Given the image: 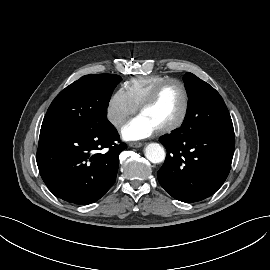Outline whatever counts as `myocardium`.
<instances>
[{
    "label": "myocardium",
    "instance_id": "myocardium-1",
    "mask_svg": "<svg viewBox=\"0 0 270 270\" xmlns=\"http://www.w3.org/2000/svg\"><path fill=\"white\" fill-rule=\"evenodd\" d=\"M169 84H177L181 87L182 92H183V98H184L183 108H182V112L179 118L175 122L167 126L161 127L157 130L158 133H161V134L170 133L179 129L180 127L183 126V124L185 123L187 119L189 108H190V96H189V92L185 83L176 78H170L159 83L153 88V90L150 92V94L147 96V98L143 101V103L139 107V112L142 113L145 109L150 107L156 101L161 91Z\"/></svg>",
    "mask_w": 270,
    "mask_h": 270
}]
</instances>
